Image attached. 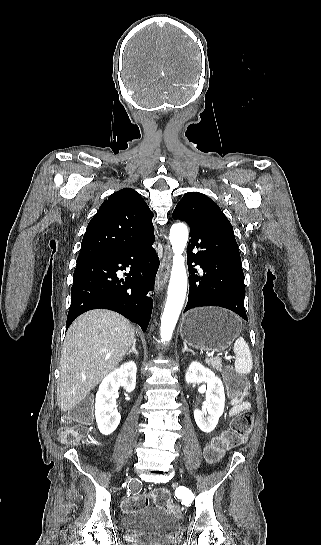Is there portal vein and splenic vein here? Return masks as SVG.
<instances>
[{
    "label": "portal vein and splenic vein",
    "instance_id": "portal-vein-and-splenic-vein-1",
    "mask_svg": "<svg viewBox=\"0 0 321 545\" xmlns=\"http://www.w3.org/2000/svg\"><path fill=\"white\" fill-rule=\"evenodd\" d=\"M208 357H213V353H208ZM105 361H108V359H105Z\"/></svg>",
    "mask_w": 321,
    "mask_h": 545
}]
</instances>
